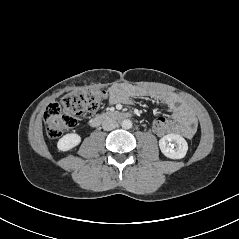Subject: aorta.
<instances>
[{
  "label": "aorta",
  "mask_w": 239,
  "mask_h": 239,
  "mask_svg": "<svg viewBox=\"0 0 239 239\" xmlns=\"http://www.w3.org/2000/svg\"><path fill=\"white\" fill-rule=\"evenodd\" d=\"M121 126L123 129H130L132 128V121L129 119H125L121 122Z\"/></svg>",
  "instance_id": "obj_1"
}]
</instances>
